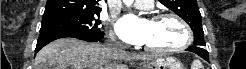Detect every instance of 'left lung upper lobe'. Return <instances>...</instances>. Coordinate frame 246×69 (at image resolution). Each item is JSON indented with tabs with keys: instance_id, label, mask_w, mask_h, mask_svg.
Segmentation results:
<instances>
[{
	"instance_id": "left-lung-upper-lobe-1",
	"label": "left lung upper lobe",
	"mask_w": 246,
	"mask_h": 69,
	"mask_svg": "<svg viewBox=\"0 0 246 69\" xmlns=\"http://www.w3.org/2000/svg\"><path fill=\"white\" fill-rule=\"evenodd\" d=\"M189 24L194 33V46H206L201 23V14L196 0H159Z\"/></svg>"
}]
</instances>
